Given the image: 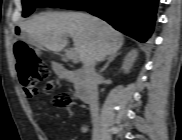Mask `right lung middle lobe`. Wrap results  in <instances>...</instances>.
<instances>
[{
    "instance_id": "right-lung-middle-lobe-1",
    "label": "right lung middle lobe",
    "mask_w": 182,
    "mask_h": 140,
    "mask_svg": "<svg viewBox=\"0 0 182 140\" xmlns=\"http://www.w3.org/2000/svg\"><path fill=\"white\" fill-rule=\"evenodd\" d=\"M98 0H22L23 17L29 16L36 7H59L70 10H83Z\"/></svg>"
}]
</instances>
